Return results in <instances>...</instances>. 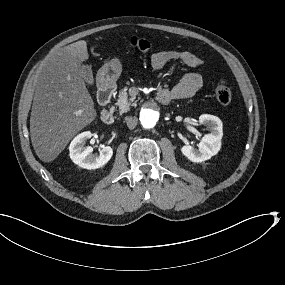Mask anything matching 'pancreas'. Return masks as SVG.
Instances as JSON below:
<instances>
[{
    "label": "pancreas",
    "instance_id": "pancreas-1",
    "mask_svg": "<svg viewBox=\"0 0 285 285\" xmlns=\"http://www.w3.org/2000/svg\"><path fill=\"white\" fill-rule=\"evenodd\" d=\"M134 101L135 98L128 99V93L123 92L117 99V105L119 106L120 113L127 112Z\"/></svg>",
    "mask_w": 285,
    "mask_h": 285
}]
</instances>
